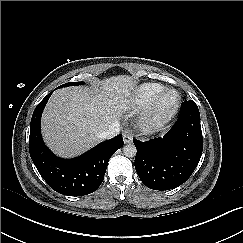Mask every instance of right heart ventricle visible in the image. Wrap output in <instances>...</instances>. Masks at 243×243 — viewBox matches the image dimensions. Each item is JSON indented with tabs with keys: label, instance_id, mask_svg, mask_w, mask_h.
I'll list each match as a JSON object with an SVG mask.
<instances>
[{
	"label": "right heart ventricle",
	"instance_id": "e07e8e85",
	"mask_svg": "<svg viewBox=\"0 0 243 243\" xmlns=\"http://www.w3.org/2000/svg\"><path fill=\"white\" fill-rule=\"evenodd\" d=\"M165 89V86L157 82H145L133 88L126 99L125 108L133 113L139 112L156 98Z\"/></svg>",
	"mask_w": 243,
	"mask_h": 243
}]
</instances>
